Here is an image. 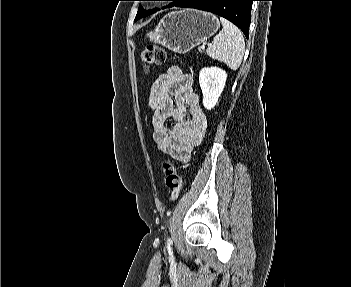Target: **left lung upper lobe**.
Returning a JSON list of instances; mask_svg holds the SVG:
<instances>
[{"label": "left lung upper lobe", "instance_id": "obj_1", "mask_svg": "<svg viewBox=\"0 0 351 287\" xmlns=\"http://www.w3.org/2000/svg\"><path fill=\"white\" fill-rule=\"evenodd\" d=\"M139 1H146V0H139ZM167 1H172V3L167 6V7H172L176 3H178L180 0H167ZM156 11H157V9H153L151 11H146L143 9V7L141 5H139L138 12H137V15L135 17V21L141 19L142 17H146V16L150 15L151 13H155Z\"/></svg>", "mask_w": 351, "mask_h": 287}]
</instances>
